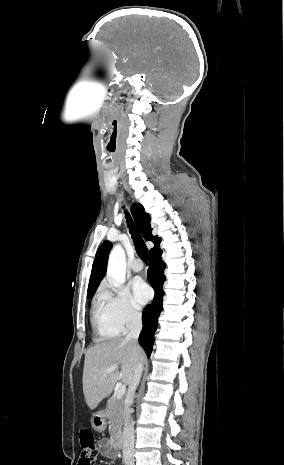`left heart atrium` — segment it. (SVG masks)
<instances>
[{"label":"left heart atrium","mask_w":284,"mask_h":465,"mask_svg":"<svg viewBox=\"0 0 284 465\" xmlns=\"http://www.w3.org/2000/svg\"><path fill=\"white\" fill-rule=\"evenodd\" d=\"M130 297L135 306L142 307L151 297L150 288L142 280L135 279L131 283Z\"/></svg>","instance_id":"obj_1"}]
</instances>
